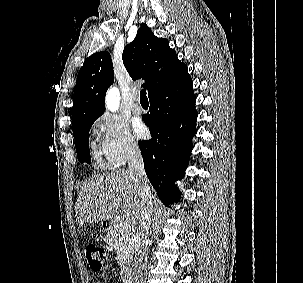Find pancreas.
<instances>
[{
	"instance_id": "cf45deb5",
	"label": "pancreas",
	"mask_w": 303,
	"mask_h": 283,
	"mask_svg": "<svg viewBox=\"0 0 303 283\" xmlns=\"http://www.w3.org/2000/svg\"><path fill=\"white\" fill-rule=\"evenodd\" d=\"M132 231L129 226L116 223L109 231L108 238L117 251L118 264L126 267L133 257V246L131 245Z\"/></svg>"
}]
</instances>
